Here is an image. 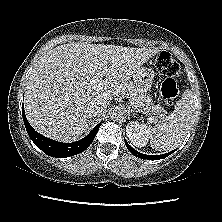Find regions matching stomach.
<instances>
[{
	"instance_id": "obj_1",
	"label": "stomach",
	"mask_w": 222,
	"mask_h": 222,
	"mask_svg": "<svg viewBox=\"0 0 222 222\" xmlns=\"http://www.w3.org/2000/svg\"><path fill=\"white\" fill-rule=\"evenodd\" d=\"M154 72L151 69L140 67L132 76L133 83L137 89L147 92L153 83Z\"/></svg>"
}]
</instances>
